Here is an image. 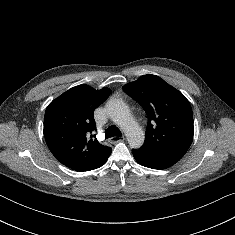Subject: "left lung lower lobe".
<instances>
[{"label": "left lung lower lobe", "mask_w": 235, "mask_h": 235, "mask_svg": "<svg viewBox=\"0 0 235 235\" xmlns=\"http://www.w3.org/2000/svg\"><path fill=\"white\" fill-rule=\"evenodd\" d=\"M132 152L139 164L153 169H166L182 158V156L178 154L148 147H142L141 149L133 150Z\"/></svg>", "instance_id": "obj_1"}]
</instances>
